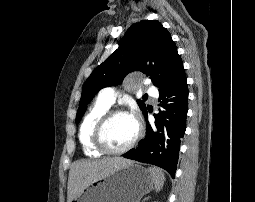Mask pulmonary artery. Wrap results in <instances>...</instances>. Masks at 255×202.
Returning a JSON list of instances; mask_svg holds the SVG:
<instances>
[{"label": "pulmonary artery", "instance_id": "1", "mask_svg": "<svg viewBox=\"0 0 255 202\" xmlns=\"http://www.w3.org/2000/svg\"><path fill=\"white\" fill-rule=\"evenodd\" d=\"M144 84L146 85L145 91L147 93L155 94L156 89L153 86L149 85V82H144ZM116 97L117 91L113 87L104 88L99 94V99L108 105H112L115 102Z\"/></svg>", "mask_w": 255, "mask_h": 202}]
</instances>
